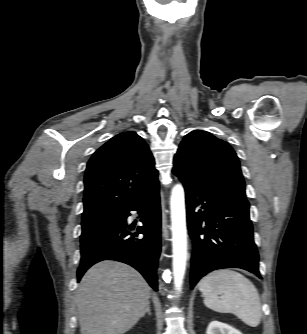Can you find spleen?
<instances>
[{"instance_id": "3e777b00", "label": "spleen", "mask_w": 307, "mask_h": 334, "mask_svg": "<svg viewBox=\"0 0 307 334\" xmlns=\"http://www.w3.org/2000/svg\"><path fill=\"white\" fill-rule=\"evenodd\" d=\"M199 290L209 309L232 313L251 327L260 324L262 312L258 291L242 274L230 269L213 271L201 279Z\"/></svg>"}]
</instances>
